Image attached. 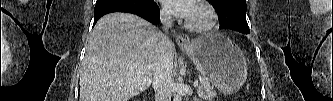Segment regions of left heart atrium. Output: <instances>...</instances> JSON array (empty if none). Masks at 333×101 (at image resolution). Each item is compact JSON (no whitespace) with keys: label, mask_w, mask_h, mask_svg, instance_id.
I'll return each mask as SVG.
<instances>
[{"label":"left heart atrium","mask_w":333,"mask_h":101,"mask_svg":"<svg viewBox=\"0 0 333 101\" xmlns=\"http://www.w3.org/2000/svg\"><path fill=\"white\" fill-rule=\"evenodd\" d=\"M165 9L173 14L188 17L194 7L192 0H164Z\"/></svg>","instance_id":"left-heart-atrium-1"}]
</instances>
